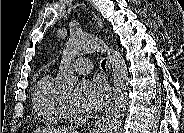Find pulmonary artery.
Listing matches in <instances>:
<instances>
[{
  "label": "pulmonary artery",
  "instance_id": "1",
  "mask_svg": "<svg viewBox=\"0 0 184 133\" xmlns=\"http://www.w3.org/2000/svg\"><path fill=\"white\" fill-rule=\"evenodd\" d=\"M72 67L77 73H81V74H86L92 71L91 62L85 58L76 60L72 64Z\"/></svg>",
  "mask_w": 184,
  "mask_h": 133
}]
</instances>
